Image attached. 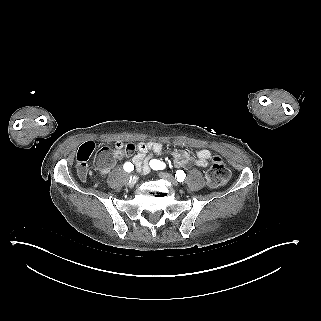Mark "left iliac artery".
<instances>
[{"mask_svg":"<svg viewBox=\"0 0 321 321\" xmlns=\"http://www.w3.org/2000/svg\"><path fill=\"white\" fill-rule=\"evenodd\" d=\"M150 166L155 170H161L165 168V164L159 160H152L150 162ZM175 177L177 178L178 182L184 181L186 174L182 170H178L175 174Z\"/></svg>","mask_w":321,"mask_h":321,"instance_id":"left-iliac-artery-1","label":"left iliac artery"}]
</instances>
